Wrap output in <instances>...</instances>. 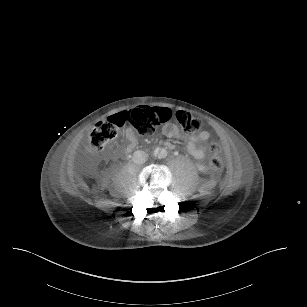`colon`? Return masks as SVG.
Masks as SVG:
<instances>
[{"instance_id": "colon-1", "label": "colon", "mask_w": 307, "mask_h": 307, "mask_svg": "<svg viewBox=\"0 0 307 307\" xmlns=\"http://www.w3.org/2000/svg\"><path fill=\"white\" fill-rule=\"evenodd\" d=\"M174 115L177 124L188 134H195L201 130V121L188 111L178 110L174 114L172 110L165 107L140 106L126 112L121 118L111 116L106 120L98 121L90 133L85 152L93 156L102 151L109 140L119 135L125 124L131 125L143 135H149L155 127L170 121ZM208 148L211 154L210 170L217 173L223 167L221 156L223 146L219 141L214 140L210 142Z\"/></svg>"}]
</instances>
